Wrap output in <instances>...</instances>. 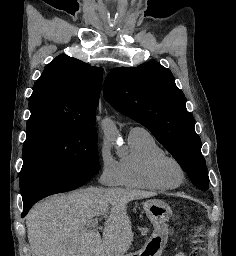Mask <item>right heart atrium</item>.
<instances>
[{
	"instance_id": "1",
	"label": "right heart atrium",
	"mask_w": 236,
	"mask_h": 256,
	"mask_svg": "<svg viewBox=\"0 0 236 256\" xmlns=\"http://www.w3.org/2000/svg\"><path fill=\"white\" fill-rule=\"evenodd\" d=\"M100 182L105 186L116 187L122 185V169L120 160L116 159L106 143L99 151Z\"/></svg>"
}]
</instances>
